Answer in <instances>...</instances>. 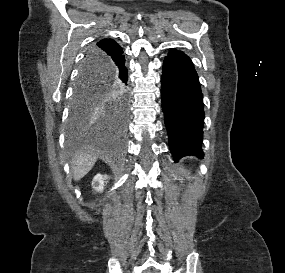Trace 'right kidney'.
Segmentation results:
<instances>
[{"mask_svg": "<svg viewBox=\"0 0 285 273\" xmlns=\"http://www.w3.org/2000/svg\"><path fill=\"white\" fill-rule=\"evenodd\" d=\"M106 175L103 176L101 174H97L92 181V187L94 190H96L97 192H102L105 186V180H106ZM95 183L97 184V186H95Z\"/></svg>", "mask_w": 285, "mask_h": 273, "instance_id": "right-kidney-1", "label": "right kidney"}]
</instances>
